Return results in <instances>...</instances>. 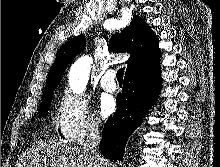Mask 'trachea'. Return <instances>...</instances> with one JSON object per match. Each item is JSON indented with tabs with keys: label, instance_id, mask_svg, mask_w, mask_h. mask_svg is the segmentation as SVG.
<instances>
[{
	"label": "trachea",
	"instance_id": "3493384b",
	"mask_svg": "<svg viewBox=\"0 0 220 167\" xmlns=\"http://www.w3.org/2000/svg\"><path fill=\"white\" fill-rule=\"evenodd\" d=\"M124 69H125V68H120V69L117 71L116 77H117V80H118L119 83H122V82H123Z\"/></svg>",
	"mask_w": 220,
	"mask_h": 167
}]
</instances>
